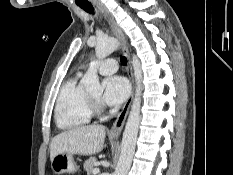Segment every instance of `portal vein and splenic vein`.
I'll list each match as a JSON object with an SVG mask.
<instances>
[{
	"label": "portal vein and splenic vein",
	"mask_w": 233,
	"mask_h": 175,
	"mask_svg": "<svg viewBox=\"0 0 233 175\" xmlns=\"http://www.w3.org/2000/svg\"><path fill=\"white\" fill-rule=\"evenodd\" d=\"M99 172H100L99 168H95V169L93 170V174H94V175L98 174Z\"/></svg>",
	"instance_id": "portal-vein-and-splenic-vein-1"
}]
</instances>
